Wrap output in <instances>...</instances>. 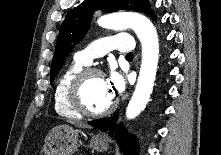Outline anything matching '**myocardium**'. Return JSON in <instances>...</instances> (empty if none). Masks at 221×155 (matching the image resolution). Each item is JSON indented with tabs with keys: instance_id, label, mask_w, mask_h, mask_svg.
I'll use <instances>...</instances> for the list:
<instances>
[{
	"instance_id": "f54148a6",
	"label": "myocardium",
	"mask_w": 221,
	"mask_h": 155,
	"mask_svg": "<svg viewBox=\"0 0 221 155\" xmlns=\"http://www.w3.org/2000/svg\"><path fill=\"white\" fill-rule=\"evenodd\" d=\"M95 75L104 76V73L102 70L95 67L83 68L73 77L67 89V100L71 108L82 116L92 118L107 116L111 114L117 107L116 99H114L112 103L102 111H91L86 107L81 95L82 88L85 82L90 77Z\"/></svg>"
}]
</instances>
